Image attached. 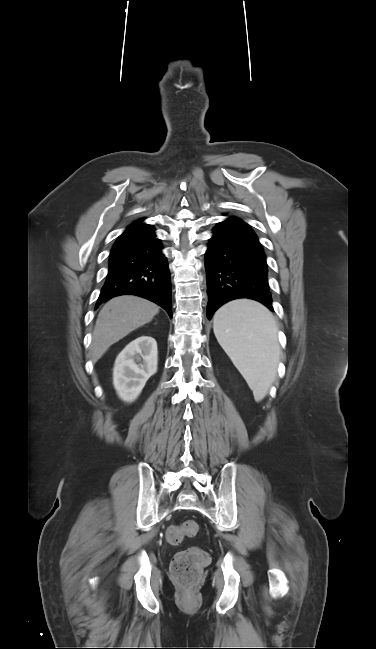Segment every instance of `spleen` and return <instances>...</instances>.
Masks as SVG:
<instances>
[{
    "mask_svg": "<svg viewBox=\"0 0 376 649\" xmlns=\"http://www.w3.org/2000/svg\"><path fill=\"white\" fill-rule=\"evenodd\" d=\"M214 334L233 364L261 401L277 374L280 346L277 324L261 303L238 299L214 315Z\"/></svg>",
    "mask_w": 376,
    "mask_h": 649,
    "instance_id": "spleen-1",
    "label": "spleen"
}]
</instances>
